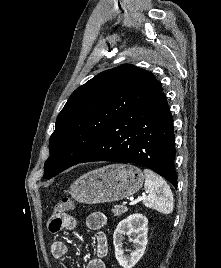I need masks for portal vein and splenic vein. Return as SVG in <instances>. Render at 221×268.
Returning a JSON list of instances; mask_svg holds the SVG:
<instances>
[{"mask_svg": "<svg viewBox=\"0 0 221 268\" xmlns=\"http://www.w3.org/2000/svg\"><path fill=\"white\" fill-rule=\"evenodd\" d=\"M143 197H144V194H143ZM143 197L138 198V199H136V200H134V199H130L129 205H135V204L138 203Z\"/></svg>", "mask_w": 221, "mask_h": 268, "instance_id": "1", "label": "portal vein and splenic vein"}]
</instances>
